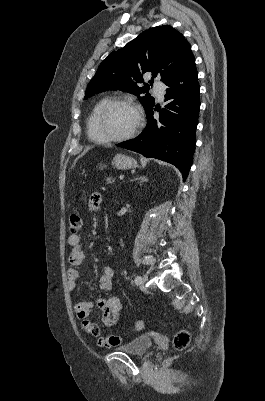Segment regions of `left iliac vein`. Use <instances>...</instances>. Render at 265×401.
I'll return each mask as SVG.
<instances>
[{"label": "left iliac vein", "instance_id": "4c4485c4", "mask_svg": "<svg viewBox=\"0 0 265 401\" xmlns=\"http://www.w3.org/2000/svg\"><path fill=\"white\" fill-rule=\"evenodd\" d=\"M140 277H141V276H140ZM147 279H148V277H147L146 275H144V276L141 277L140 286H141L142 288H145V282L147 281Z\"/></svg>", "mask_w": 265, "mask_h": 401}]
</instances>
